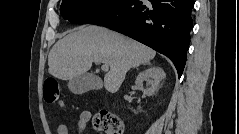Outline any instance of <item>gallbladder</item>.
Returning a JSON list of instances; mask_svg holds the SVG:
<instances>
[{
	"mask_svg": "<svg viewBox=\"0 0 239 134\" xmlns=\"http://www.w3.org/2000/svg\"><path fill=\"white\" fill-rule=\"evenodd\" d=\"M102 84L98 77L93 74H82L69 80L68 87L75 94H83L93 89L101 88Z\"/></svg>",
	"mask_w": 239,
	"mask_h": 134,
	"instance_id": "bac80fb5",
	"label": "gallbladder"
}]
</instances>
